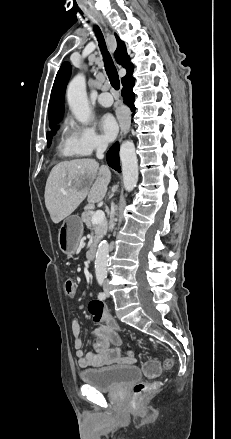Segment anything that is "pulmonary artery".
Returning <instances> with one entry per match:
<instances>
[{
	"label": "pulmonary artery",
	"mask_w": 231,
	"mask_h": 439,
	"mask_svg": "<svg viewBox=\"0 0 231 439\" xmlns=\"http://www.w3.org/2000/svg\"><path fill=\"white\" fill-rule=\"evenodd\" d=\"M98 103L103 107H110L113 104V98L110 93L103 92L98 96Z\"/></svg>",
	"instance_id": "obj_1"
}]
</instances>
